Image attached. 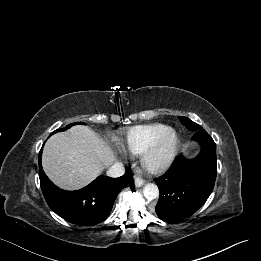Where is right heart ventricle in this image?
<instances>
[{
	"label": "right heart ventricle",
	"instance_id": "right-heart-ventricle-1",
	"mask_svg": "<svg viewBox=\"0 0 261 261\" xmlns=\"http://www.w3.org/2000/svg\"><path fill=\"white\" fill-rule=\"evenodd\" d=\"M170 130L172 129L169 126L159 123L136 126L126 133L120 146L125 152L137 156Z\"/></svg>",
	"mask_w": 261,
	"mask_h": 261
}]
</instances>
